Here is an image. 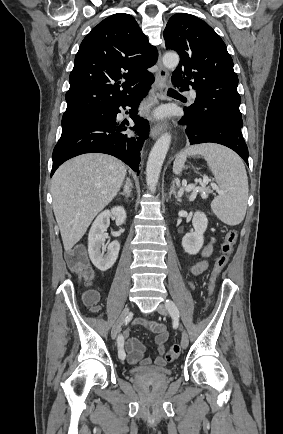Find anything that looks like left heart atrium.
<instances>
[{
  "label": "left heart atrium",
  "instance_id": "left-heart-atrium-1",
  "mask_svg": "<svg viewBox=\"0 0 283 434\" xmlns=\"http://www.w3.org/2000/svg\"><path fill=\"white\" fill-rule=\"evenodd\" d=\"M157 115H158V116H160V115H161V113H158Z\"/></svg>",
  "mask_w": 283,
  "mask_h": 434
}]
</instances>
